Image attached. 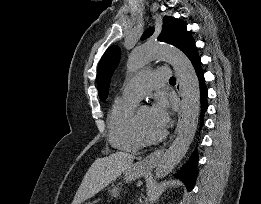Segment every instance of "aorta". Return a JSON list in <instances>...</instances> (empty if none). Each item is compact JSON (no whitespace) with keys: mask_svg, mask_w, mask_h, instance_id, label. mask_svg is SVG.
I'll return each mask as SVG.
<instances>
[{"mask_svg":"<svg viewBox=\"0 0 261 204\" xmlns=\"http://www.w3.org/2000/svg\"><path fill=\"white\" fill-rule=\"evenodd\" d=\"M156 58L164 59L173 66L182 89L183 100V120L178 135L155 170V177L159 179L164 178L178 165L192 143L200 114V87L188 57L170 45L145 43L136 47L128 57L127 68L130 72H136Z\"/></svg>","mask_w":261,"mask_h":204,"instance_id":"obj_1","label":"aorta"}]
</instances>
